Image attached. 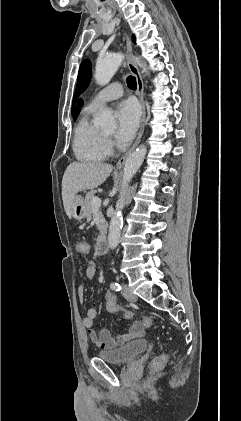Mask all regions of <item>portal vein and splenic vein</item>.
I'll return each instance as SVG.
<instances>
[{
	"mask_svg": "<svg viewBox=\"0 0 241 421\" xmlns=\"http://www.w3.org/2000/svg\"><path fill=\"white\" fill-rule=\"evenodd\" d=\"M92 206L93 208H100L101 206V199L95 196L92 200Z\"/></svg>",
	"mask_w": 241,
	"mask_h": 421,
	"instance_id": "18ae733b",
	"label": "portal vein and splenic vein"
}]
</instances>
